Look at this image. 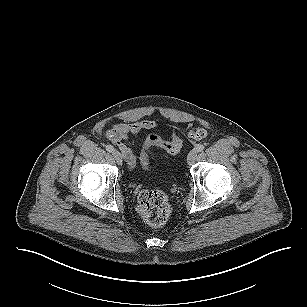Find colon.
Instances as JSON below:
<instances>
[{
    "label": "colon",
    "instance_id": "1",
    "mask_svg": "<svg viewBox=\"0 0 307 307\" xmlns=\"http://www.w3.org/2000/svg\"><path fill=\"white\" fill-rule=\"evenodd\" d=\"M194 139H204L207 131L198 128L189 132ZM183 145L182 138L178 133H172L170 139H163L158 134L152 133L146 138L141 158L144 166H148V151L151 147H160L171 154L178 153ZM138 211L141 216L151 225L159 226L167 222L171 214V205L166 194L160 190L144 189L138 196Z\"/></svg>",
    "mask_w": 307,
    "mask_h": 307
}]
</instances>
